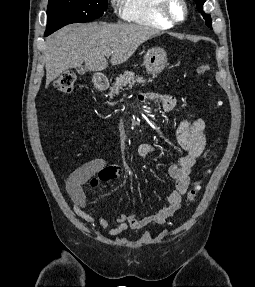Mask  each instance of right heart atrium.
<instances>
[{
  "mask_svg": "<svg viewBox=\"0 0 255 287\" xmlns=\"http://www.w3.org/2000/svg\"><path fill=\"white\" fill-rule=\"evenodd\" d=\"M108 48H122V47H108Z\"/></svg>",
  "mask_w": 255,
  "mask_h": 287,
  "instance_id": "right-heart-atrium-1",
  "label": "right heart atrium"
}]
</instances>
